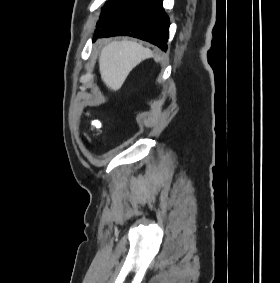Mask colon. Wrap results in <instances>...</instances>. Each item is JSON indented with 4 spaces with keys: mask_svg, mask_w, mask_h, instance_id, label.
Segmentation results:
<instances>
[{
    "mask_svg": "<svg viewBox=\"0 0 280 283\" xmlns=\"http://www.w3.org/2000/svg\"><path fill=\"white\" fill-rule=\"evenodd\" d=\"M92 125L96 130H100V128L102 127V123L98 120L92 121Z\"/></svg>",
    "mask_w": 280,
    "mask_h": 283,
    "instance_id": "colon-1",
    "label": "colon"
}]
</instances>
